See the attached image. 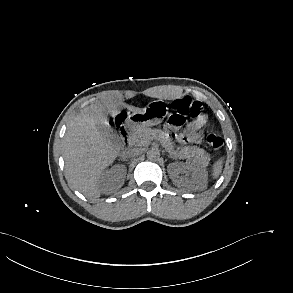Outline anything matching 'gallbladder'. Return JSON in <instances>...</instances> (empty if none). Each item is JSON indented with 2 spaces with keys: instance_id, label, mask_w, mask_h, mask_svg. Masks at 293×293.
<instances>
[{
  "instance_id": "obj_1",
  "label": "gallbladder",
  "mask_w": 293,
  "mask_h": 293,
  "mask_svg": "<svg viewBox=\"0 0 293 293\" xmlns=\"http://www.w3.org/2000/svg\"><path fill=\"white\" fill-rule=\"evenodd\" d=\"M96 127L98 131L112 143L120 142V138L118 134L113 130V128L110 125L98 122L96 124Z\"/></svg>"
}]
</instances>
